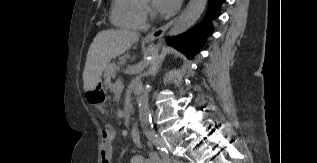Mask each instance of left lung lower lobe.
<instances>
[{"label":"left lung lower lobe","instance_id":"left-lung-lower-lobe-1","mask_svg":"<svg viewBox=\"0 0 317 163\" xmlns=\"http://www.w3.org/2000/svg\"><path fill=\"white\" fill-rule=\"evenodd\" d=\"M225 0H209L208 10L205 19L190 31L169 39L167 42L177 50L192 58L198 53L206 39L212 33L211 20L220 14V7Z\"/></svg>","mask_w":317,"mask_h":163}]
</instances>
